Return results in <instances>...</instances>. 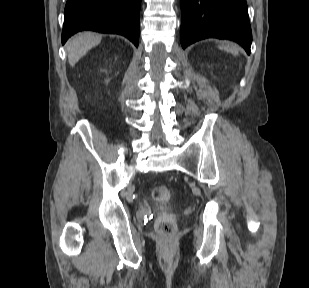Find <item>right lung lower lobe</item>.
Returning <instances> with one entry per match:
<instances>
[{
    "label": "right lung lower lobe",
    "mask_w": 309,
    "mask_h": 288,
    "mask_svg": "<svg viewBox=\"0 0 309 288\" xmlns=\"http://www.w3.org/2000/svg\"><path fill=\"white\" fill-rule=\"evenodd\" d=\"M141 0H67L62 44L82 30L121 34L139 43Z\"/></svg>",
    "instance_id": "98d812e1"
}]
</instances>
